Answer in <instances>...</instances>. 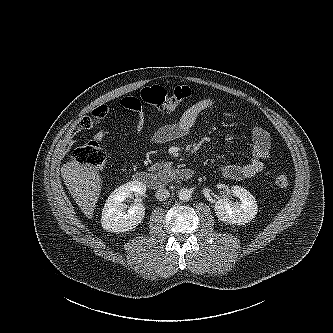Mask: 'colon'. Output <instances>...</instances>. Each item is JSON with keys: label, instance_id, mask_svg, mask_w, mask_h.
<instances>
[{"label": "colon", "instance_id": "colon-1", "mask_svg": "<svg viewBox=\"0 0 333 333\" xmlns=\"http://www.w3.org/2000/svg\"><path fill=\"white\" fill-rule=\"evenodd\" d=\"M194 91L187 86H177L172 90H167L161 86H151L143 88L140 92V99L159 110H174L185 99L191 97ZM71 160L93 169L103 167L106 154L97 142H89L76 148L71 154ZM275 186L286 188L289 184L285 174H279L274 181Z\"/></svg>", "mask_w": 333, "mask_h": 333}]
</instances>
